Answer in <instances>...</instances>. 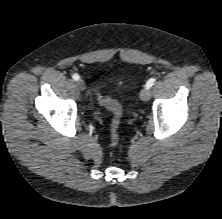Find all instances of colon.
Segmentation results:
<instances>
[{"label":"colon","instance_id":"1","mask_svg":"<svg viewBox=\"0 0 222 219\" xmlns=\"http://www.w3.org/2000/svg\"><path fill=\"white\" fill-rule=\"evenodd\" d=\"M99 102L101 105L109 109L113 112L114 117L111 123V142L113 145H116L119 140V124H120V117H121V108L120 105L111 99L99 98Z\"/></svg>","mask_w":222,"mask_h":219}]
</instances>
